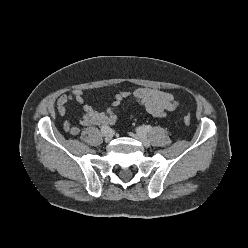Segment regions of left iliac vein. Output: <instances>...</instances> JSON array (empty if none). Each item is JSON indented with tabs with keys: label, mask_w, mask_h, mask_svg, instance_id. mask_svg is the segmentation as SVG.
<instances>
[{
	"label": "left iliac vein",
	"mask_w": 248,
	"mask_h": 248,
	"mask_svg": "<svg viewBox=\"0 0 248 248\" xmlns=\"http://www.w3.org/2000/svg\"><path fill=\"white\" fill-rule=\"evenodd\" d=\"M131 136L139 140L145 147H149L151 145L150 140L143 133H140V132H137L136 134L132 133Z\"/></svg>",
	"instance_id": "4c4485c4"
}]
</instances>
